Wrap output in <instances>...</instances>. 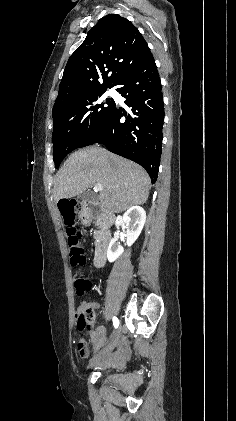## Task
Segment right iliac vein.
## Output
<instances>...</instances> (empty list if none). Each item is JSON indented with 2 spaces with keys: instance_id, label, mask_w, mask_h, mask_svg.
Masks as SVG:
<instances>
[{
  "instance_id": "right-iliac-vein-1",
  "label": "right iliac vein",
  "mask_w": 236,
  "mask_h": 421,
  "mask_svg": "<svg viewBox=\"0 0 236 421\" xmlns=\"http://www.w3.org/2000/svg\"><path fill=\"white\" fill-rule=\"evenodd\" d=\"M120 332V329L116 331L114 338L108 343V345L92 358V364L99 362L102 358L106 357L115 348L116 341L119 338Z\"/></svg>"
}]
</instances>
